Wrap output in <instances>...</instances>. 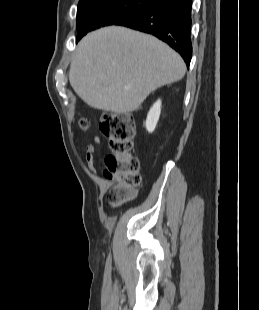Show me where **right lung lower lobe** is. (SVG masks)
<instances>
[{
	"label": "right lung lower lobe",
	"mask_w": 259,
	"mask_h": 310,
	"mask_svg": "<svg viewBox=\"0 0 259 310\" xmlns=\"http://www.w3.org/2000/svg\"><path fill=\"white\" fill-rule=\"evenodd\" d=\"M192 0H156V2L114 25L126 26L152 34L176 50L187 67L192 57Z\"/></svg>",
	"instance_id": "1"
}]
</instances>
